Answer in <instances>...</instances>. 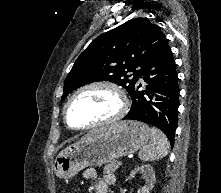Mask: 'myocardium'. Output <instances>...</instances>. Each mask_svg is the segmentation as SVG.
Returning a JSON list of instances; mask_svg holds the SVG:
<instances>
[{
	"mask_svg": "<svg viewBox=\"0 0 221 193\" xmlns=\"http://www.w3.org/2000/svg\"><path fill=\"white\" fill-rule=\"evenodd\" d=\"M95 88H105V89L112 91L118 99L117 110L111 116H109L103 120L97 121L95 123H92L90 125H87L84 127L72 126L68 121V108H69L70 104L80 93H82L86 90L95 89ZM127 110H128V100H127L126 94L122 90V88L111 81L97 80V81H92V82H89V83H86V84L80 86L69 96V98L67 99V101L65 102L64 107H63V120H64L65 125L69 129L79 131V132H85V131H89V130H92L95 128L111 125V124L118 122L119 120H121L124 117Z\"/></svg>",
	"mask_w": 221,
	"mask_h": 193,
	"instance_id": "1",
	"label": "myocardium"
}]
</instances>
